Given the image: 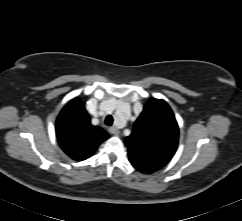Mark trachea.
Listing matches in <instances>:
<instances>
[{
  "label": "trachea",
  "instance_id": "3493384b",
  "mask_svg": "<svg viewBox=\"0 0 242 221\" xmlns=\"http://www.w3.org/2000/svg\"><path fill=\"white\" fill-rule=\"evenodd\" d=\"M105 124L107 126H111L113 124V117L111 115H108L106 118H105Z\"/></svg>",
  "mask_w": 242,
  "mask_h": 221
}]
</instances>
